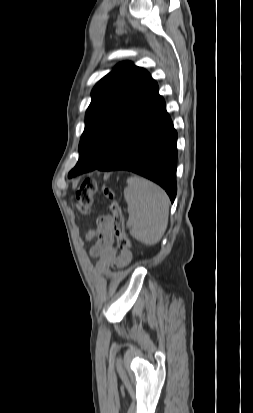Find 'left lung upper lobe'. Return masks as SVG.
Masks as SVG:
<instances>
[{
	"label": "left lung upper lobe",
	"instance_id": "5c2ea615",
	"mask_svg": "<svg viewBox=\"0 0 253 413\" xmlns=\"http://www.w3.org/2000/svg\"><path fill=\"white\" fill-rule=\"evenodd\" d=\"M157 92L158 85L150 74L128 61L104 76L91 92L79 143L81 157L68 176L99 169L109 162L121 139V124L140 114Z\"/></svg>",
	"mask_w": 253,
	"mask_h": 413
}]
</instances>
